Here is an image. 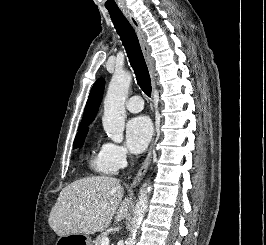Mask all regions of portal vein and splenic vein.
Here are the masks:
<instances>
[{
  "instance_id": "18ae733b",
  "label": "portal vein and splenic vein",
  "mask_w": 266,
  "mask_h": 245,
  "mask_svg": "<svg viewBox=\"0 0 266 245\" xmlns=\"http://www.w3.org/2000/svg\"><path fill=\"white\" fill-rule=\"evenodd\" d=\"M103 209H105V207H103ZM110 241L108 239V237H103L102 241H101V245H109Z\"/></svg>"
}]
</instances>
